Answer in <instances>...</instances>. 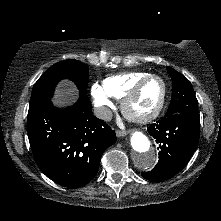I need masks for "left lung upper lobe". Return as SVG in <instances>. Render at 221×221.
Returning a JSON list of instances; mask_svg holds the SVG:
<instances>
[{"label":"left lung upper lobe","instance_id":"5c2ea615","mask_svg":"<svg viewBox=\"0 0 221 221\" xmlns=\"http://www.w3.org/2000/svg\"><path fill=\"white\" fill-rule=\"evenodd\" d=\"M167 70L171 76L173 87L171 102L165 117L173 114H187L193 120L200 122L198 101L191 83L171 67H167Z\"/></svg>","mask_w":221,"mask_h":221}]
</instances>
